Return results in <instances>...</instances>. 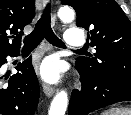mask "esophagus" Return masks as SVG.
Segmentation results:
<instances>
[{"label":"esophagus","instance_id":"34e87169","mask_svg":"<svg viewBox=\"0 0 131 115\" xmlns=\"http://www.w3.org/2000/svg\"><path fill=\"white\" fill-rule=\"evenodd\" d=\"M46 3H49L50 0H45ZM52 25L54 27L57 26V17L55 13L52 14ZM43 91L47 97H51L55 93V88L51 85H48L46 83L43 84Z\"/></svg>","mask_w":131,"mask_h":115}]
</instances>
